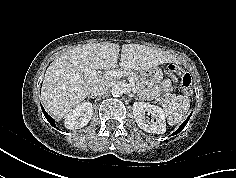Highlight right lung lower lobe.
Masks as SVG:
<instances>
[{"instance_id": "obj_1", "label": "right lung lower lobe", "mask_w": 236, "mask_h": 178, "mask_svg": "<svg viewBox=\"0 0 236 178\" xmlns=\"http://www.w3.org/2000/svg\"><path fill=\"white\" fill-rule=\"evenodd\" d=\"M41 107H42V106H41ZM42 111H43V113H44L46 119L49 121V123H50L53 127L56 128V126H55V120H54L52 117H50V116L46 113V111L44 110L43 107H42Z\"/></svg>"}]
</instances>
